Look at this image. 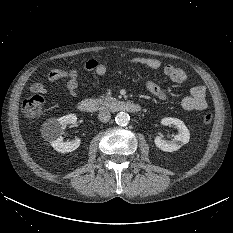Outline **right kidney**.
<instances>
[{
    "label": "right kidney",
    "mask_w": 233,
    "mask_h": 233,
    "mask_svg": "<svg viewBox=\"0 0 233 233\" xmlns=\"http://www.w3.org/2000/svg\"><path fill=\"white\" fill-rule=\"evenodd\" d=\"M77 121L75 114L65 115L58 119H48L42 128V132L51 146L58 152L68 153L76 150L80 146V139L64 142L62 133L67 125L74 124Z\"/></svg>",
    "instance_id": "right-kidney-1"
}]
</instances>
